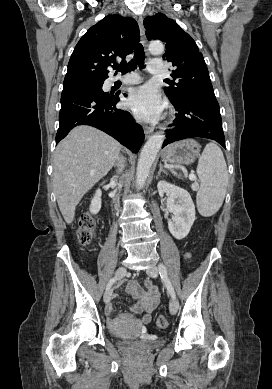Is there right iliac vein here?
Masks as SVG:
<instances>
[{
    "label": "right iliac vein",
    "instance_id": "obj_1",
    "mask_svg": "<svg viewBox=\"0 0 272 389\" xmlns=\"http://www.w3.org/2000/svg\"><path fill=\"white\" fill-rule=\"evenodd\" d=\"M126 272H127L126 267L121 266L116 270L114 278H116V280H119L125 276ZM111 293H112L111 288L105 292V294H104V302L105 303H109Z\"/></svg>",
    "mask_w": 272,
    "mask_h": 389
}]
</instances>
